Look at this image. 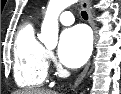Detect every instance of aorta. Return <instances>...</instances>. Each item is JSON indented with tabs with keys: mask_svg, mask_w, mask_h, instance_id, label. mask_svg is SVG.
<instances>
[{
	"mask_svg": "<svg viewBox=\"0 0 121 94\" xmlns=\"http://www.w3.org/2000/svg\"><path fill=\"white\" fill-rule=\"evenodd\" d=\"M77 0H49L41 25L40 41L47 48H54L58 42V17L60 13Z\"/></svg>",
	"mask_w": 121,
	"mask_h": 94,
	"instance_id": "762f6f07",
	"label": "aorta"
}]
</instances>
